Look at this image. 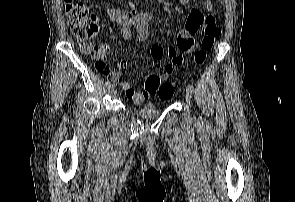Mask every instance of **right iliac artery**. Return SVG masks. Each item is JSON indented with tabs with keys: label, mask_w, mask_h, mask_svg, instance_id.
Listing matches in <instances>:
<instances>
[{
	"label": "right iliac artery",
	"mask_w": 295,
	"mask_h": 202,
	"mask_svg": "<svg viewBox=\"0 0 295 202\" xmlns=\"http://www.w3.org/2000/svg\"><path fill=\"white\" fill-rule=\"evenodd\" d=\"M105 85H106V86H110V85H111L110 81H109V80L106 81Z\"/></svg>",
	"instance_id": "right-iliac-artery-1"
}]
</instances>
